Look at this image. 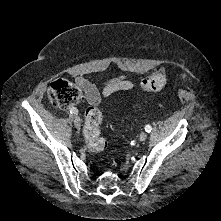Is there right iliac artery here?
<instances>
[{
    "label": "right iliac artery",
    "instance_id": "82829eb1",
    "mask_svg": "<svg viewBox=\"0 0 221 221\" xmlns=\"http://www.w3.org/2000/svg\"><path fill=\"white\" fill-rule=\"evenodd\" d=\"M70 113H71V114H74V115H75V114H78V110H77L75 107H71V108H70Z\"/></svg>",
    "mask_w": 221,
    "mask_h": 221
}]
</instances>
